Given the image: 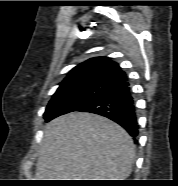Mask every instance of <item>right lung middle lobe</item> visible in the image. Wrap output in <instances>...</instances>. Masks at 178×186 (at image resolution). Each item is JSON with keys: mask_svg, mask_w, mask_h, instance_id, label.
<instances>
[{"mask_svg": "<svg viewBox=\"0 0 178 186\" xmlns=\"http://www.w3.org/2000/svg\"><path fill=\"white\" fill-rule=\"evenodd\" d=\"M109 87L106 84H88L58 90L46 107L44 118L50 121L60 115L76 111Z\"/></svg>", "mask_w": 178, "mask_h": 186, "instance_id": "right-lung-middle-lobe-1", "label": "right lung middle lobe"}]
</instances>
